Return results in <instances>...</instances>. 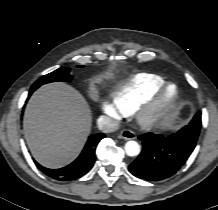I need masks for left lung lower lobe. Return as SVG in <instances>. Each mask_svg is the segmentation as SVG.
<instances>
[{"label":"left lung lower lobe","instance_id":"0a47b994","mask_svg":"<svg viewBox=\"0 0 218 210\" xmlns=\"http://www.w3.org/2000/svg\"><path fill=\"white\" fill-rule=\"evenodd\" d=\"M197 138L184 132L183 128L166 137L154 133L143 134L139 136L143 150L128 169L134 176L149 181L166 179L185 164Z\"/></svg>","mask_w":218,"mask_h":210}]
</instances>
